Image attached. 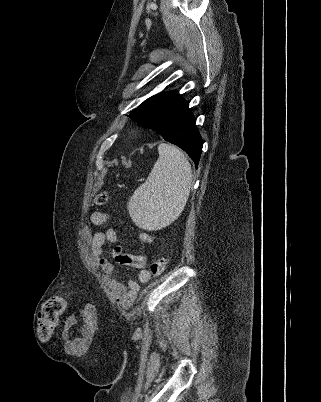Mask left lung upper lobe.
I'll return each instance as SVG.
<instances>
[{
  "label": "left lung upper lobe",
  "instance_id": "1",
  "mask_svg": "<svg viewBox=\"0 0 321 402\" xmlns=\"http://www.w3.org/2000/svg\"><path fill=\"white\" fill-rule=\"evenodd\" d=\"M169 93L170 92H166L153 101H151L152 98H148L131 113L130 118L154 130L158 116V110Z\"/></svg>",
  "mask_w": 321,
  "mask_h": 402
}]
</instances>
